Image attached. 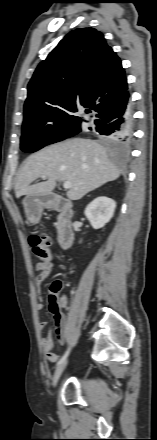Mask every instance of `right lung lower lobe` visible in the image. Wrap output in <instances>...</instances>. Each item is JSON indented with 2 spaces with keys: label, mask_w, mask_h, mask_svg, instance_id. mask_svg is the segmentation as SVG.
<instances>
[{
  "label": "right lung lower lobe",
  "mask_w": 157,
  "mask_h": 440,
  "mask_svg": "<svg viewBox=\"0 0 157 440\" xmlns=\"http://www.w3.org/2000/svg\"><path fill=\"white\" fill-rule=\"evenodd\" d=\"M95 131L115 143H130L132 140V115L129 97L105 106L96 114ZM91 129V128H90Z\"/></svg>",
  "instance_id": "obj_1"
}]
</instances>
